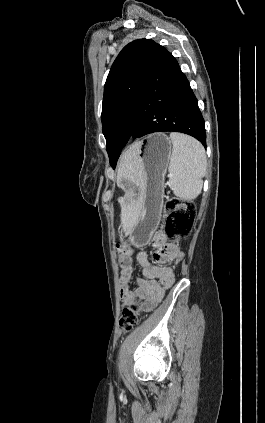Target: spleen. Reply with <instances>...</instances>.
<instances>
[{"instance_id": "spleen-1", "label": "spleen", "mask_w": 265, "mask_h": 423, "mask_svg": "<svg viewBox=\"0 0 265 423\" xmlns=\"http://www.w3.org/2000/svg\"><path fill=\"white\" fill-rule=\"evenodd\" d=\"M170 139L173 149L168 168L169 183L175 196L190 201L202 189L207 167L205 149L199 141L181 133H170Z\"/></svg>"}]
</instances>
